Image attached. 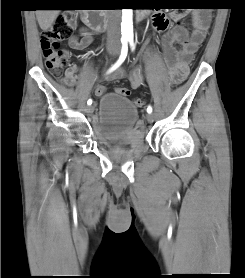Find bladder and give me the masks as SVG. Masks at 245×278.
I'll return each mask as SVG.
<instances>
[{
	"label": "bladder",
	"mask_w": 245,
	"mask_h": 278,
	"mask_svg": "<svg viewBox=\"0 0 245 278\" xmlns=\"http://www.w3.org/2000/svg\"><path fill=\"white\" fill-rule=\"evenodd\" d=\"M94 135L106 147L133 149L145 141L135 104L114 92L105 93L100 100Z\"/></svg>",
	"instance_id": "31cf9c89"
}]
</instances>
